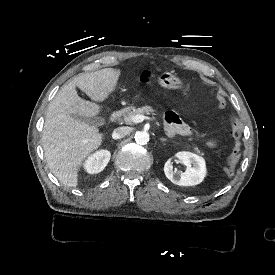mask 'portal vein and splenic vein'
Returning a JSON list of instances; mask_svg holds the SVG:
<instances>
[{
    "label": "portal vein and splenic vein",
    "mask_w": 275,
    "mask_h": 275,
    "mask_svg": "<svg viewBox=\"0 0 275 275\" xmlns=\"http://www.w3.org/2000/svg\"><path fill=\"white\" fill-rule=\"evenodd\" d=\"M144 120L153 121V118L150 117V116L138 114V115L133 116V117L130 119V123H141V122H143Z\"/></svg>",
    "instance_id": "18ae733b"
}]
</instances>
